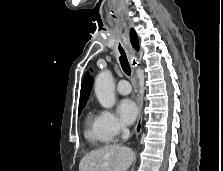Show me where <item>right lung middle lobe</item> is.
Instances as JSON below:
<instances>
[{
	"label": "right lung middle lobe",
	"instance_id": "1",
	"mask_svg": "<svg viewBox=\"0 0 223 171\" xmlns=\"http://www.w3.org/2000/svg\"><path fill=\"white\" fill-rule=\"evenodd\" d=\"M83 108H84V106L79 107L78 115H80V113L82 112Z\"/></svg>",
	"mask_w": 223,
	"mask_h": 171
}]
</instances>
